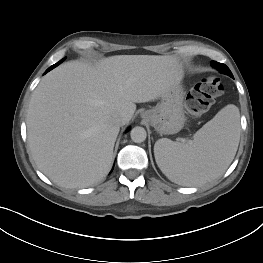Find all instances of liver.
I'll list each match as a JSON object with an SVG mask.
<instances>
[{
	"mask_svg": "<svg viewBox=\"0 0 263 263\" xmlns=\"http://www.w3.org/2000/svg\"><path fill=\"white\" fill-rule=\"evenodd\" d=\"M183 76L176 58L158 55H115L95 66L70 61L52 70L27 112L28 146L38 168L65 188L101 181L120 131L113 118L123 116L125 125L135 103L162 97Z\"/></svg>",
	"mask_w": 263,
	"mask_h": 263,
	"instance_id": "liver-1",
	"label": "liver"
}]
</instances>
